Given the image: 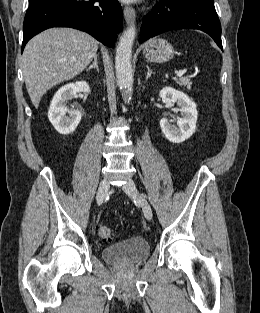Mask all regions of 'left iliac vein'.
<instances>
[{
  "label": "left iliac vein",
  "mask_w": 260,
  "mask_h": 313,
  "mask_svg": "<svg viewBox=\"0 0 260 313\" xmlns=\"http://www.w3.org/2000/svg\"><path fill=\"white\" fill-rule=\"evenodd\" d=\"M122 189L128 196L136 199L140 203L145 218L151 220L153 217L151 206L145 198L139 196L135 183L132 180H128V182L122 186Z\"/></svg>",
  "instance_id": "1"
}]
</instances>
